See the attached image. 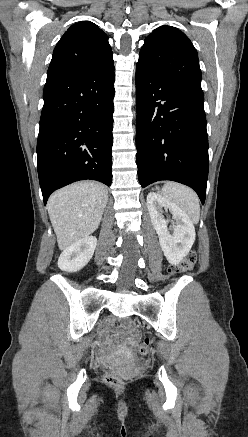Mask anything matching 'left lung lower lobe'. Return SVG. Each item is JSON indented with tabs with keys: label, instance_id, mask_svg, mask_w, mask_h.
Here are the masks:
<instances>
[{
	"label": "left lung lower lobe",
	"instance_id": "left-lung-lower-lobe-1",
	"mask_svg": "<svg viewBox=\"0 0 248 437\" xmlns=\"http://www.w3.org/2000/svg\"><path fill=\"white\" fill-rule=\"evenodd\" d=\"M136 97L141 186L176 181L193 188L204 204L209 158L202 89L136 69Z\"/></svg>",
	"mask_w": 248,
	"mask_h": 437
}]
</instances>
